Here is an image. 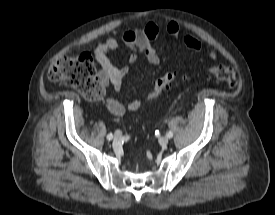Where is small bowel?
<instances>
[{
    "mask_svg": "<svg viewBox=\"0 0 275 215\" xmlns=\"http://www.w3.org/2000/svg\"><path fill=\"white\" fill-rule=\"evenodd\" d=\"M167 33L177 38L180 33V28L177 22L169 21L166 26ZM159 28L156 22L150 21L143 27L126 29L121 34L122 42L130 49L129 63L137 62L139 55L151 65H158L160 57L153 47V42L158 36ZM185 46L193 51H200L202 48L213 59L217 58V51L211 45L205 43L201 38L193 34H186L183 37ZM119 49V42L114 37H108L104 42L100 43L95 49V58L99 64L98 76L104 87L112 86L115 90H120L123 80L129 72L128 66L117 67L109 60V52H114ZM108 110L115 116H122L126 112L125 106L115 98L108 97L106 99ZM140 106L139 100H132L128 103L127 109L130 111L137 110Z\"/></svg>",
    "mask_w": 275,
    "mask_h": 215,
    "instance_id": "1",
    "label": "small bowel"
}]
</instances>
